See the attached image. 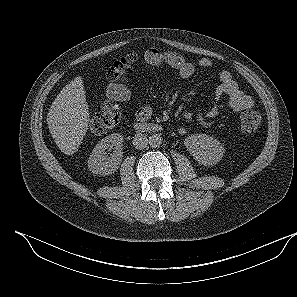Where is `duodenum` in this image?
<instances>
[{
	"mask_svg": "<svg viewBox=\"0 0 297 297\" xmlns=\"http://www.w3.org/2000/svg\"><path fill=\"white\" fill-rule=\"evenodd\" d=\"M135 129L144 133H158L163 130V127L158 123H145L140 121L135 124Z\"/></svg>",
	"mask_w": 297,
	"mask_h": 297,
	"instance_id": "1",
	"label": "duodenum"
}]
</instances>
